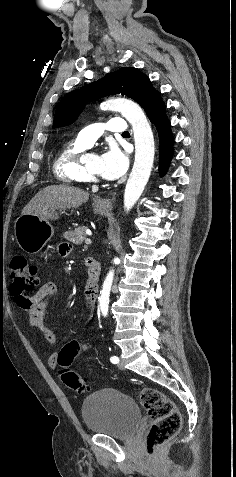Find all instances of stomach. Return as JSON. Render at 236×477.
<instances>
[{
    "label": "stomach",
    "instance_id": "0dacf381",
    "mask_svg": "<svg viewBox=\"0 0 236 477\" xmlns=\"http://www.w3.org/2000/svg\"><path fill=\"white\" fill-rule=\"evenodd\" d=\"M94 212L109 215L110 209L100 201L93 203ZM59 217L57 212H50L45 216L31 214L21 215L15 222L14 232L19 247L28 254H37L54 235V228L50 221Z\"/></svg>",
    "mask_w": 236,
    "mask_h": 477
}]
</instances>
